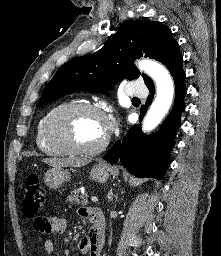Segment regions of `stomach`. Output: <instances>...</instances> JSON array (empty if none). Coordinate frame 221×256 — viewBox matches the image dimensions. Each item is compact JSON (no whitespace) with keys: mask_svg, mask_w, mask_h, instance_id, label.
<instances>
[{"mask_svg":"<svg viewBox=\"0 0 221 256\" xmlns=\"http://www.w3.org/2000/svg\"><path fill=\"white\" fill-rule=\"evenodd\" d=\"M117 173V169L108 165L99 164L94 166L90 171L92 180L98 183H105L111 175ZM70 172L62 167L52 168L44 175L45 184L51 189H57L62 184L70 180Z\"/></svg>","mask_w":221,"mask_h":256,"instance_id":"obj_1","label":"stomach"}]
</instances>
